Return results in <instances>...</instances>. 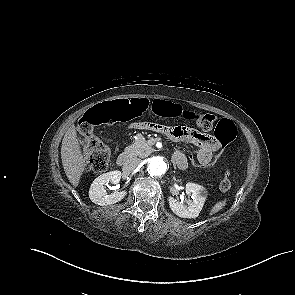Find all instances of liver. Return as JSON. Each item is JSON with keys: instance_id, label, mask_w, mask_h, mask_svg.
Listing matches in <instances>:
<instances>
[{"instance_id": "1", "label": "liver", "mask_w": 295, "mask_h": 295, "mask_svg": "<svg viewBox=\"0 0 295 295\" xmlns=\"http://www.w3.org/2000/svg\"><path fill=\"white\" fill-rule=\"evenodd\" d=\"M61 159L65 174L73 186H78L86 162L81 152L75 127H71L62 140Z\"/></svg>"}]
</instances>
